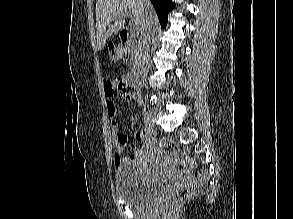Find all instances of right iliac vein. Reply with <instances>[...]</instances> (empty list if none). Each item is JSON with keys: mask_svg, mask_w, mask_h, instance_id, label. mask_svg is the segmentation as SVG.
<instances>
[{"mask_svg": "<svg viewBox=\"0 0 293 219\" xmlns=\"http://www.w3.org/2000/svg\"><path fill=\"white\" fill-rule=\"evenodd\" d=\"M144 121L146 125L149 127V129H152L154 127V117L151 112L149 111L145 112Z\"/></svg>", "mask_w": 293, "mask_h": 219, "instance_id": "1", "label": "right iliac vein"}]
</instances>
